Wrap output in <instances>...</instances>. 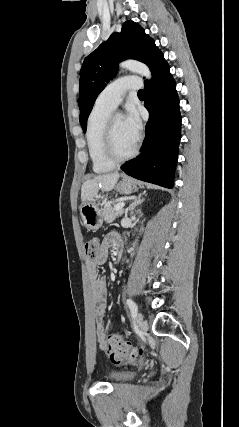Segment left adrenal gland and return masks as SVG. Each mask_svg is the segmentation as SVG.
<instances>
[{
  "label": "left adrenal gland",
  "mask_w": 239,
  "mask_h": 427,
  "mask_svg": "<svg viewBox=\"0 0 239 427\" xmlns=\"http://www.w3.org/2000/svg\"><path fill=\"white\" fill-rule=\"evenodd\" d=\"M141 197H142V194H139L136 198H134L133 202L127 208V211H130L131 213H133L135 206L141 204L145 200L144 198H141Z\"/></svg>",
  "instance_id": "1"
}]
</instances>
